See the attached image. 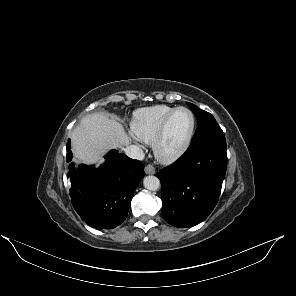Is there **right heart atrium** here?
Instances as JSON below:
<instances>
[{
  "instance_id": "obj_1",
  "label": "right heart atrium",
  "mask_w": 296,
  "mask_h": 296,
  "mask_svg": "<svg viewBox=\"0 0 296 296\" xmlns=\"http://www.w3.org/2000/svg\"><path fill=\"white\" fill-rule=\"evenodd\" d=\"M133 141L136 143L137 146L143 148L141 141L137 137H133Z\"/></svg>"
}]
</instances>
